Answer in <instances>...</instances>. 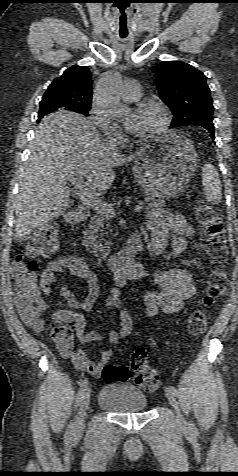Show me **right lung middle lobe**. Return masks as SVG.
Wrapping results in <instances>:
<instances>
[{"instance_id": "dd1d6c3e", "label": "right lung middle lobe", "mask_w": 238, "mask_h": 476, "mask_svg": "<svg viewBox=\"0 0 238 476\" xmlns=\"http://www.w3.org/2000/svg\"><path fill=\"white\" fill-rule=\"evenodd\" d=\"M89 109H90L89 107H83L77 112L82 113L84 115H88ZM57 110L63 111L56 104L48 103V102H41L38 118H42L44 115L49 114V113L54 112V111H57Z\"/></svg>"}]
</instances>
